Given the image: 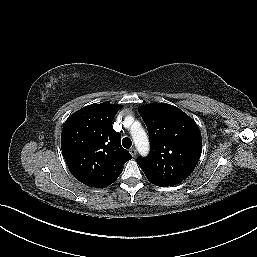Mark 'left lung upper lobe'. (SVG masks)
I'll return each mask as SVG.
<instances>
[{
	"mask_svg": "<svg viewBox=\"0 0 257 257\" xmlns=\"http://www.w3.org/2000/svg\"><path fill=\"white\" fill-rule=\"evenodd\" d=\"M149 133L150 155L137 163L153 184L180 183L196 167L202 138L195 121L179 108L155 103L139 108Z\"/></svg>",
	"mask_w": 257,
	"mask_h": 257,
	"instance_id": "1",
	"label": "left lung upper lobe"
}]
</instances>
